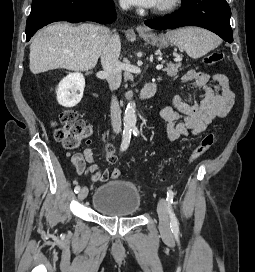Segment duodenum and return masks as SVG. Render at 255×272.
Returning a JSON list of instances; mask_svg holds the SVG:
<instances>
[{"instance_id":"410a0bca","label":"duodenum","mask_w":255,"mask_h":272,"mask_svg":"<svg viewBox=\"0 0 255 272\" xmlns=\"http://www.w3.org/2000/svg\"><path fill=\"white\" fill-rule=\"evenodd\" d=\"M155 92H156V83L152 81L148 82L144 85V87L140 91L138 98L141 101L149 100L150 98L154 96Z\"/></svg>"}]
</instances>
